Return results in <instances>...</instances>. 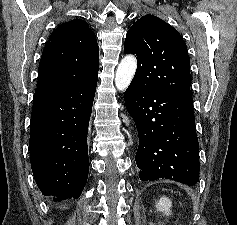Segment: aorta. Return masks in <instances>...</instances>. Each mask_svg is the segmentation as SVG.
<instances>
[{
    "mask_svg": "<svg viewBox=\"0 0 237 225\" xmlns=\"http://www.w3.org/2000/svg\"><path fill=\"white\" fill-rule=\"evenodd\" d=\"M137 67L136 58L132 55L124 57L116 69L115 85L119 91H125L130 85Z\"/></svg>",
    "mask_w": 237,
    "mask_h": 225,
    "instance_id": "aorta-1",
    "label": "aorta"
}]
</instances>
